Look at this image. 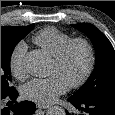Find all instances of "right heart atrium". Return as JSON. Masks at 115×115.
<instances>
[{"mask_svg":"<svg viewBox=\"0 0 115 115\" xmlns=\"http://www.w3.org/2000/svg\"><path fill=\"white\" fill-rule=\"evenodd\" d=\"M26 52L27 45L25 42L21 41L14 46L9 56V68L11 74L18 80H24L27 77L24 62Z\"/></svg>","mask_w":115,"mask_h":115,"instance_id":"right-heart-atrium-1","label":"right heart atrium"}]
</instances>
